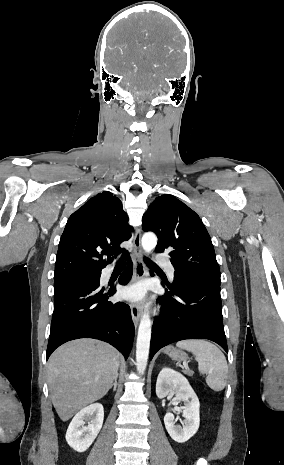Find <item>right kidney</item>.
<instances>
[{
  "label": "right kidney",
  "instance_id": "ca27d5eb",
  "mask_svg": "<svg viewBox=\"0 0 284 465\" xmlns=\"http://www.w3.org/2000/svg\"><path fill=\"white\" fill-rule=\"evenodd\" d=\"M85 421H91L87 427ZM104 421V411L100 403H94L79 411L72 419L66 433V441L74 451L83 453L93 441H95L99 431L102 429Z\"/></svg>",
  "mask_w": 284,
  "mask_h": 465
}]
</instances>
